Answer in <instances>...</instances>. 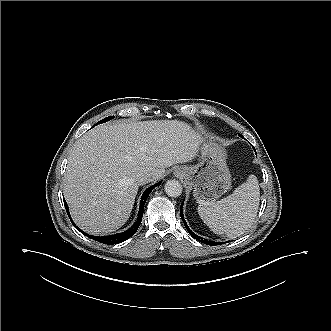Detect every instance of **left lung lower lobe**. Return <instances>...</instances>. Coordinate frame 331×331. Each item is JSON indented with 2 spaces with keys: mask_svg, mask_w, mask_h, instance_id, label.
I'll use <instances>...</instances> for the list:
<instances>
[{
  "mask_svg": "<svg viewBox=\"0 0 331 331\" xmlns=\"http://www.w3.org/2000/svg\"><path fill=\"white\" fill-rule=\"evenodd\" d=\"M240 136H241V135H240ZM180 215H181L182 221H183V223H184V225H185L187 231L189 232V234H190L194 239H196V240H198L199 242H202V243H204V244H208V245H218V244H219L218 242L208 241V240H206V239H204V238H202V237H200V236L194 234V233L190 230V228L188 227V225H187V223H186V221H185V219H184V216H183L182 205H181V207H180Z\"/></svg>",
  "mask_w": 331,
  "mask_h": 331,
  "instance_id": "0a47b994",
  "label": "left lung lower lobe"
}]
</instances>
